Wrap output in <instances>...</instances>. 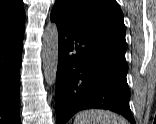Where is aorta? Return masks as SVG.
I'll use <instances>...</instances> for the list:
<instances>
[{"mask_svg":"<svg viewBox=\"0 0 156 124\" xmlns=\"http://www.w3.org/2000/svg\"><path fill=\"white\" fill-rule=\"evenodd\" d=\"M42 61L45 81L51 86L56 81L58 67V28L52 22L43 33Z\"/></svg>","mask_w":156,"mask_h":124,"instance_id":"762f6f07","label":"aorta"}]
</instances>
